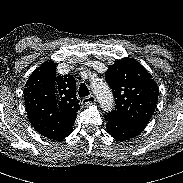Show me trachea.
Returning a JSON list of instances; mask_svg holds the SVG:
<instances>
[{"label":"trachea","instance_id":"3493384b","mask_svg":"<svg viewBox=\"0 0 183 183\" xmlns=\"http://www.w3.org/2000/svg\"><path fill=\"white\" fill-rule=\"evenodd\" d=\"M78 94H79V97H86L90 94L85 84L80 85Z\"/></svg>","mask_w":183,"mask_h":183}]
</instances>
